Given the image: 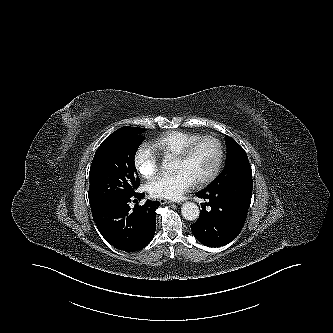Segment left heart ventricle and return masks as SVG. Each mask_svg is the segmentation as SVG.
<instances>
[{
	"mask_svg": "<svg viewBox=\"0 0 333 333\" xmlns=\"http://www.w3.org/2000/svg\"><path fill=\"white\" fill-rule=\"evenodd\" d=\"M218 157L216 144L211 140L201 142L185 161L174 160L173 171L187 172L195 182L206 178L213 170Z\"/></svg>",
	"mask_w": 333,
	"mask_h": 333,
	"instance_id": "b2bd125f",
	"label": "left heart ventricle"
}]
</instances>
